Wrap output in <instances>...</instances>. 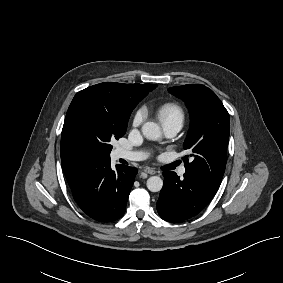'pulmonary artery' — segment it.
<instances>
[{
  "instance_id": "obj_1",
  "label": "pulmonary artery",
  "mask_w": 283,
  "mask_h": 283,
  "mask_svg": "<svg viewBox=\"0 0 283 283\" xmlns=\"http://www.w3.org/2000/svg\"><path fill=\"white\" fill-rule=\"evenodd\" d=\"M182 124L179 122H167L163 124V130L165 136L168 138L174 137L181 129ZM114 157L116 159H125V160H143L146 158V153L143 151H131L124 148H117L114 152ZM186 169L184 167L179 169V174L183 175Z\"/></svg>"
}]
</instances>
